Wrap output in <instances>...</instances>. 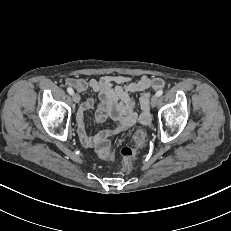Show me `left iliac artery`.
Segmentation results:
<instances>
[{
	"label": "left iliac artery",
	"mask_w": 231,
	"mask_h": 231,
	"mask_svg": "<svg viewBox=\"0 0 231 231\" xmlns=\"http://www.w3.org/2000/svg\"><path fill=\"white\" fill-rule=\"evenodd\" d=\"M163 94V91L162 90H159V91H157L156 92V95L159 97V96H161Z\"/></svg>",
	"instance_id": "obj_1"
}]
</instances>
